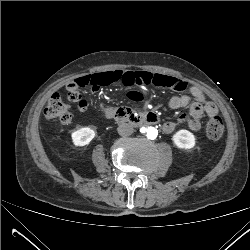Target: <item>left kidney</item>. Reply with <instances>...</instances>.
Masks as SVG:
<instances>
[{"label":"left kidney","mask_w":250,"mask_h":250,"mask_svg":"<svg viewBox=\"0 0 250 250\" xmlns=\"http://www.w3.org/2000/svg\"><path fill=\"white\" fill-rule=\"evenodd\" d=\"M174 142L179 148L189 150L195 147L196 138L190 131L182 129L174 135Z\"/></svg>","instance_id":"obj_1"}]
</instances>
